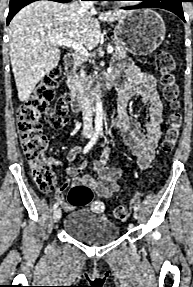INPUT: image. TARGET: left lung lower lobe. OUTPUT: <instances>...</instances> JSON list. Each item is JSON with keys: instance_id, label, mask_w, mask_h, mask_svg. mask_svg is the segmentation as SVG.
<instances>
[{"instance_id": "0a47b994", "label": "left lung lower lobe", "mask_w": 193, "mask_h": 287, "mask_svg": "<svg viewBox=\"0 0 193 287\" xmlns=\"http://www.w3.org/2000/svg\"><path fill=\"white\" fill-rule=\"evenodd\" d=\"M140 1H142L141 4L126 9L151 8V7L162 8L175 13L185 22L181 3L186 2L187 0H140Z\"/></svg>"}]
</instances>
